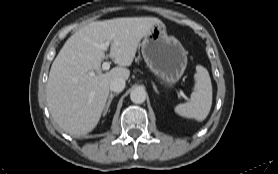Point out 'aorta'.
<instances>
[{"instance_id":"1","label":"aorta","mask_w":278,"mask_h":174,"mask_svg":"<svg viewBox=\"0 0 278 174\" xmlns=\"http://www.w3.org/2000/svg\"><path fill=\"white\" fill-rule=\"evenodd\" d=\"M147 96L146 91L143 88L137 87L130 93V99L135 104H141L145 101Z\"/></svg>"}]
</instances>
